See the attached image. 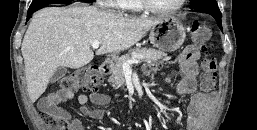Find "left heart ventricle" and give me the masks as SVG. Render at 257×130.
Wrapping results in <instances>:
<instances>
[{
    "label": "left heart ventricle",
    "instance_id": "left-heart-ventricle-1",
    "mask_svg": "<svg viewBox=\"0 0 257 130\" xmlns=\"http://www.w3.org/2000/svg\"><path fill=\"white\" fill-rule=\"evenodd\" d=\"M151 3L162 9H168L176 6L180 0H150Z\"/></svg>",
    "mask_w": 257,
    "mask_h": 130
}]
</instances>
